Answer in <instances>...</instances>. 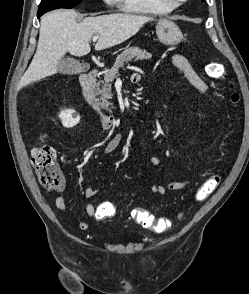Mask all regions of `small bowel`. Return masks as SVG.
<instances>
[{
	"instance_id": "obj_1",
	"label": "small bowel",
	"mask_w": 249,
	"mask_h": 294,
	"mask_svg": "<svg viewBox=\"0 0 249 294\" xmlns=\"http://www.w3.org/2000/svg\"><path fill=\"white\" fill-rule=\"evenodd\" d=\"M172 63L178 68L183 77L193 85L200 93H205L208 90L207 84L203 81V79L197 74L194 70L191 63L180 54H173L171 56ZM140 80L139 74H134L132 76L133 82H138ZM156 118L161 120L162 114L158 111L155 112ZM122 136L120 134H116L103 148L104 153H112L114 152L121 144ZM161 164V160L158 157H152L150 159V165L152 168H157ZM191 182L190 179L181 180V181H173L165 184L153 183L151 185V191L157 195H165L170 192L178 191L185 188ZM64 188L60 189L58 192V196L55 199L56 207L61 211H66L68 206L66 200L63 196ZM99 189L93 186H88L84 195L86 198H92L98 193ZM109 208L113 209V212H109ZM86 214L94 219V220H103L107 218H111L115 214V209L112 203L108 201H102L98 204L88 203L85 206ZM78 228L80 230H87L89 225L85 221L78 222Z\"/></svg>"
}]
</instances>
